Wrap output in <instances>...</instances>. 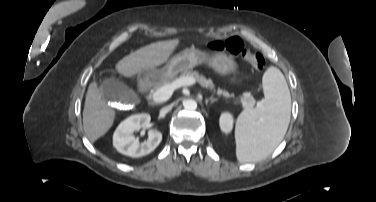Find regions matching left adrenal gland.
Instances as JSON below:
<instances>
[{
    "mask_svg": "<svg viewBox=\"0 0 376 202\" xmlns=\"http://www.w3.org/2000/svg\"><path fill=\"white\" fill-rule=\"evenodd\" d=\"M213 101H214V99H213L212 97H210L209 99H206V100H205V104L207 105L208 102H213Z\"/></svg>",
    "mask_w": 376,
    "mask_h": 202,
    "instance_id": "1",
    "label": "left adrenal gland"
}]
</instances>
